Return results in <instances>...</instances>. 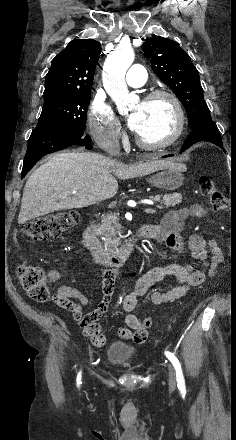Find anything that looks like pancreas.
Instances as JSON below:
<instances>
[{
    "label": "pancreas",
    "instance_id": "cf45deb5",
    "mask_svg": "<svg viewBox=\"0 0 236 440\" xmlns=\"http://www.w3.org/2000/svg\"><path fill=\"white\" fill-rule=\"evenodd\" d=\"M150 199L160 203V206L166 208L174 207L181 203L182 194L173 193L164 196L156 195L150 196ZM121 224L116 213L107 214L102 218V223L99 225V233L103 236L104 245L108 250L115 249L120 244V239L117 235H121Z\"/></svg>",
    "mask_w": 236,
    "mask_h": 440
}]
</instances>
